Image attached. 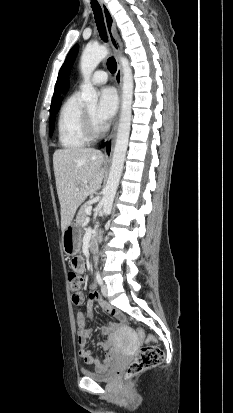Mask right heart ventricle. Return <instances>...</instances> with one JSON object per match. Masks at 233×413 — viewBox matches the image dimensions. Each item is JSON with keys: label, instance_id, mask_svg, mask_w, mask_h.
Segmentation results:
<instances>
[{"label": "right heart ventricle", "instance_id": "obj_1", "mask_svg": "<svg viewBox=\"0 0 233 413\" xmlns=\"http://www.w3.org/2000/svg\"><path fill=\"white\" fill-rule=\"evenodd\" d=\"M83 111L78 92H73L64 101L58 116V140L62 148L77 150L89 143L83 131Z\"/></svg>", "mask_w": 233, "mask_h": 413}]
</instances>
